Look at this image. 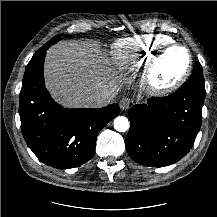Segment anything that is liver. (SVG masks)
I'll list each match as a JSON object with an SVG mask.
<instances>
[{
	"label": "liver",
	"instance_id": "liver-1",
	"mask_svg": "<svg viewBox=\"0 0 217 217\" xmlns=\"http://www.w3.org/2000/svg\"><path fill=\"white\" fill-rule=\"evenodd\" d=\"M104 59L90 42L60 41L46 55L44 77L53 98L65 107H87L85 98L94 92L112 91L128 80Z\"/></svg>",
	"mask_w": 217,
	"mask_h": 217
}]
</instances>
